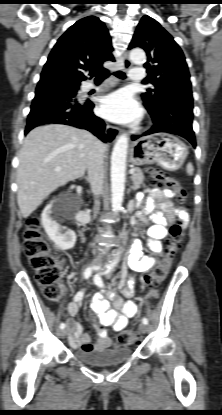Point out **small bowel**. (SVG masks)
<instances>
[{"instance_id": "1", "label": "small bowel", "mask_w": 222, "mask_h": 415, "mask_svg": "<svg viewBox=\"0 0 222 415\" xmlns=\"http://www.w3.org/2000/svg\"><path fill=\"white\" fill-rule=\"evenodd\" d=\"M173 197L174 194L167 189L152 187L148 190V197L139 213V218L142 221L152 223L147 230V246L153 254H161L163 251L161 239L167 234L168 222L177 218L185 222L189 219L184 210L174 205ZM142 249L141 241L136 240L128 256L129 266L139 273L149 271L156 262L153 255H144ZM134 285L135 280L130 278L127 284L121 288L122 296L115 290L107 288H102L95 294L91 309L99 318L102 327H98V339L94 344L91 342L90 335L83 331L82 325L77 320L85 291L80 289L76 292L67 307L70 345L74 349L84 351L101 352L107 350L110 347L111 338L106 328L112 327L115 331H122L126 328L128 320L138 312L136 303L131 300L134 296Z\"/></svg>"}]
</instances>
